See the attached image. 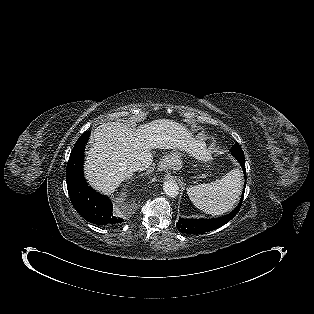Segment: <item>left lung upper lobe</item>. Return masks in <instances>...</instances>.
<instances>
[{
	"label": "left lung upper lobe",
	"mask_w": 314,
	"mask_h": 314,
	"mask_svg": "<svg viewBox=\"0 0 314 314\" xmlns=\"http://www.w3.org/2000/svg\"><path fill=\"white\" fill-rule=\"evenodd\" d=\"M233 156L236 158H244V153L241 146L238 143H235L234 146L230 149Z\"/></svg>",
	"instance_id": "left-lung-upper-lobe-1"
}]
</instances>
